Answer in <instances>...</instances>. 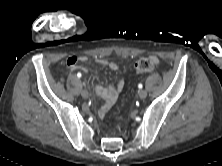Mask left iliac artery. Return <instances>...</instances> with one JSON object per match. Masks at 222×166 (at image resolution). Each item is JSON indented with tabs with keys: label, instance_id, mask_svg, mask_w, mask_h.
Returning a JSON list of instances; mask_svg holds the SVG:
<instances>
[{
	"label": "left iliac artery",
	"instance_id": "obj_1",
	"mask_svg": "<svg viewBox=\"0 0 222 166\" xmlns=\"http://www.w3.org/2000/svg\"><path fill=\"white\" fill-rule=\"evenodd\" d=\"M138 87H139V88H142L143 86H142V84H139Z\"/></svg>",
	"mask_w": 222,
	"mask_h": 166
}]
</instances>
